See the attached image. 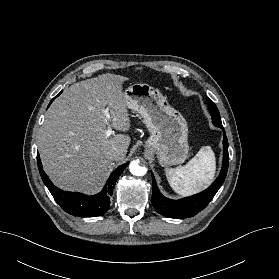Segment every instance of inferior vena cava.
Wrapping results in <instances>:
<instances>
[{"label":"inferior vena cava","instance_id":"obj_1","mask_svg":"<svg viewBox=\"0 0 279 279\" xmlns=\"http://www.w3.org/2000/svg\"><path fill=\"white\" fill-rule=\"evenodd\" d=\"M121 154V151L119 149H114L112 151L109 152V156L111 158H116Z\"/></svg>","mask_w":279,"mask_h":279}]
</instances>
